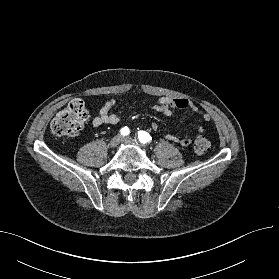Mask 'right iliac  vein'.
<instances>
[{"label":"right iliac vein","mask_w":279,"mask_h":279,"mask_svg":"<svg viewBox=\"0 0 279 279\" xmlns=\"http://www.w3.org/2000/svg\"><path fill=\"white\" fill-rule=\"evenodd\" d=\"M122 141V137L120 135H116L115 137H113L109 143V146L111 148H115L119 145V143Z\"/></svg>","instance_id":"1"}]
</instances>
